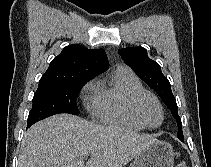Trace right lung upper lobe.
<instances>
[{"mask_svg": "<svg viewBox=\"0 0 211 167\" xmlns=\"http://www.w3.org/2000/svg\"><path fill=\"white\" fill-rule=\"evenodd\" d=\"M109 68L103 49H88L78 44L63 48L41 77L39 85L67 84L92 79Z\"/></svg>", "mask_w": 211, "mask_h": 167, "instance_id": "1", "label": "right lung upper lobe"}]
</instances>
